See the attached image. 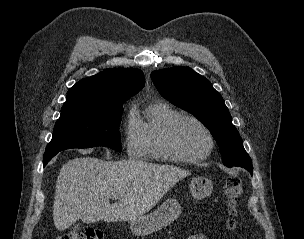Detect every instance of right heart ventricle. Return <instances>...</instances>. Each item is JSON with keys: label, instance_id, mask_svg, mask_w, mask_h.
<instances>
[{"label": "right heart ventricle", "instance_id": "obj_1", "mask_svg": "<svg viewBox=\"0 0 304 239\" xmlns=\"http://www.w3.org/2000/svg\"><path fill=\"white\" fill-rule=\"evenodd\" d=\"M180 113L163 101L150 103L145 117L139 119V128L142 138V151L140 156L154 161H176L164 146L166 127Z\"/></svg>", "mask_w": 304, "mask_h": 239}]
</instances>
